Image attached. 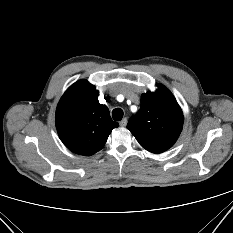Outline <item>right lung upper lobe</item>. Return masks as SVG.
<instances>
[{"mask_svg":"<svg viewBox=\"0 0 233 233\" xmlns=\"http://www.w3.org/2000/svg\"><path fill=\"white\" fill-rule=\"evenodd\" d=\"M99 92L86 80L74 83L64 93L56 109V128L64 145L72 152L90 156L105 145L118 127L108 108L98 101Z\"/></svg>","mask_w":233,"mask_h":233,"instance_id":"right-lung-upper-lobe-1","label":"right lung upper lobe"}]
</instances>
